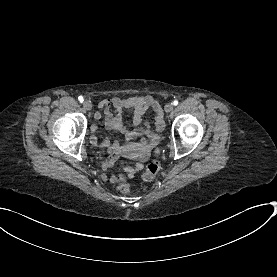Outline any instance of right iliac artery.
Listing matches in <instances>:
<instances>
[{
	"label": "right iliac artery",
	"mask_w": 277,
	"mask_h": 277,
	"mask_svg": "<svg viewBox=\"0 0 277 277\" xmlns=\"http://www.w3.org/2000/svg\"><path fill=\"white\" fill-rule=\"evenodd\" d=\"M78 100L82 103L84 99H83L82 96H79V97H78Z\"/></svg>",
	"instance_id": "82829eb1"
}]
</instances>
